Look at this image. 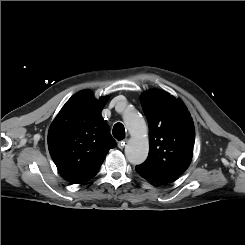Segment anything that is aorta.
Wrapping results in <instances>:
<instances>
[{
    "mask_svg": "<svg viewBox=\"0 0 245 245\" xmlns=\"http://www.w3.org/2000/svg\"><path fill=\"white\" fill-rule=\"evenodd\" d=\"M123 120L131 135L125 147L126 158L131 164L139 165L146 160L149 151L146 122L132 106L125 108Z\"/></svg>",
    "mask_w": 245,
    "mask_h": 245,
    "instance_id": "1",
    "label": "aorta"
}]
</instances>
